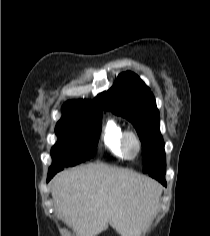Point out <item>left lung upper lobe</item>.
Here are the masks:
<instances>
[{"label":"left lung upper lobe","instance_id":"1","mask_svg":"<svg viewBox=\"0 0 210 236\" xmlns=\"http://www.w3.org/2000/svg\"><path fill=\"white\" fill-rule=\"evenodd\" d=\"M104 109L129 120L143 147V172L148 173L165 162L164 141L155 98L146 84L133 72L118 76L111 89L103 94Z\"/></svg>","mask_w":210,"mask_h":236}]
</instances>
